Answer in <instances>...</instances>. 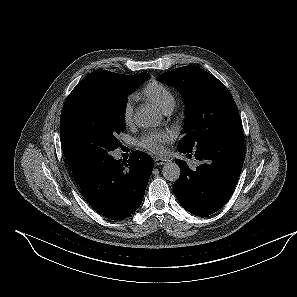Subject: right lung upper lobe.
<instances>
[{
    "mask_svg": "<svg viewBox=\"0 0 297 297\" xmlns=\"http://www.w3.org/2000/svg\"><path fill=\"white\" fill-rule=\"evenodd\" d=\"M143 73L138 75H124L112 73L106 70H97L89 75H87L84 79H82L76 87L72 90V92L67 97L62 113H66L71 107H73L78 101L88 98V97H97V96H109L111 95L117 87H119L123 82L130 78L138 77ZM62 143V142H61ZM63 153L65 159L77 181L79 184L85 177L86 173L89 169L84 168L80 165L64 148Z\"/></svg>",
    "mask_w": 297,
    "mask_h": 297,
    "instance_id": "right-lung-upper-lobe-1",
    "label": "right lung upper lobe"
}]
</instances>
